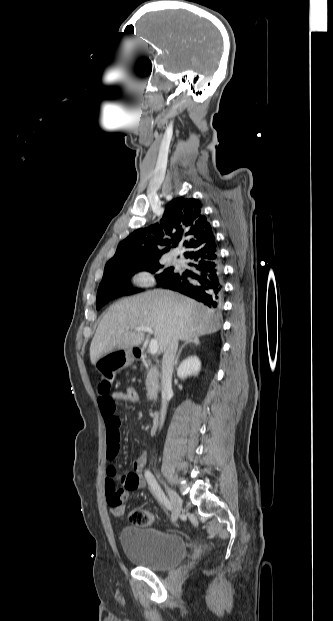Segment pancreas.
<instances>
[{"label":"pancreas","instance_id":"1","mask_svg":"<svg viewBox=\"0 0 333 621\" xmlns=\"http://www.w3.org/2000/svg\"><path fill=\"white\" fill-rule=\"evenodd\" d=\"M147 378H146V390H147V399L148 400H155L157 398V391H158V382H159V374L157 372V370L151 366V368H149V366H147Z\"/></svg>","mask_w":333,"mask_h":621}]
</instances>
